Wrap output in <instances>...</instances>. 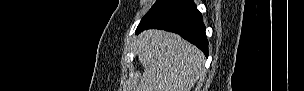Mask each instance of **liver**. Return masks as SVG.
Listing matches in <instances>:
<instances>
[{"label": "liver", "instance_id": "obj_1", "mask_svg": "<svg viewBox=\"0 0 304 91\" xmlns=\"http://www.w3.org/2000/svg\"><path fill=\"white\" fill-rule=\"evenodd\" d=\"M137 55L144 67L137 91H191L203 74V53L174 33H141Z\"/></svg>", "mask_w": 304, "mask_h": 91}]
</instances>
